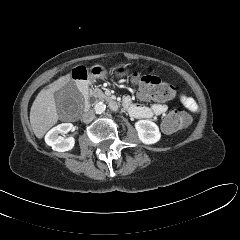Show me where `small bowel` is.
<instances>
[{
  "instance_id": "c3829d8e",
  "label": "small bowel",
  "mask_w": 240,
  "mask_h": 240,
  "mask_svg": "<svg viewBox=\"0 0 240 240\" xmlns=\"http://www.w3.org/2000/svg\"><path fill=\"white\" fill-rule=\"evenodd\" d=\"M181 104L188 110L196 112L198 110L197 103L192 97L185 94L179 95ZM124 108L127 112L138 119H150L162 116L166 113L168 106L165 103H154L150 106L141 105L132 101L129 96H124L122 100Z\"/></svg>"
}]
</instances>
